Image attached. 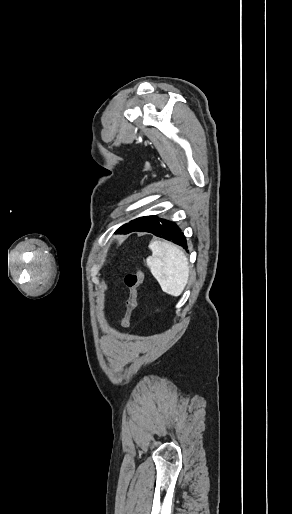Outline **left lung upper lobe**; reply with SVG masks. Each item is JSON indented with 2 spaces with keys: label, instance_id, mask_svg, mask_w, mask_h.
I'll use <instances>...</instances> for the list:
<instances>
[{
  "label": "left lung upper lobe",
  "instance_id": "5c2ea615",
  "mask_svg": "<svg viewBox=\"0 0 292 514\" xmlns=\"http://www.w3.org/2000/svg\"><path fill=\"white\" fill-rule=\"evenodd\" d=\"M157 216H144L130 221L129 224H124L115 233H131L134 231L142 232L149 228L156 220Z\"/></svg>",
  "mask_w": 292,
  "mask_h": 514
}]
</instances>
